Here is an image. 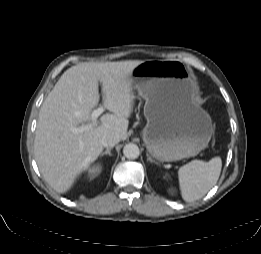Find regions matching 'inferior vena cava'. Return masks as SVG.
I'll list each match as a JSON object with an SVG mask.
<instances>
[{"mask_svg": "<svg viewBox=\"0 0 261 254\" xmlns=\"http://www.w3.org/2000/svg\"><path fill=\"white\" fill-rule=\"evenodd\" d=\"M120 141V138L117 134H112L104 137L102 140V144L104 147H113L115 144H117Z\"/></svg>", "mask_w": 261, "mask_h": 254, "instance_id": "obj_1", "label": "inferior vena cava"}]
</instances>
